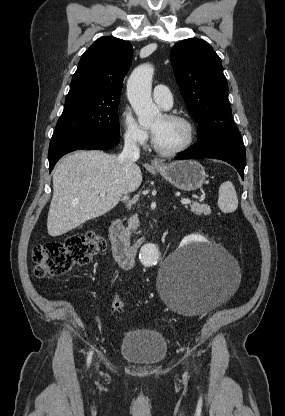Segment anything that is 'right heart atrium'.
Wrapping results in <instances>:
<instances>
[{"instance_id":"obj_1","label":"right heart atrium","mask_w":285,"mask_h":416,"mask_svg":"<svg viewBox=\"0 0 285 416\" xmlns=\"http://www.w3.org/2000/svg\"><path fill=\"white\" fill-rule=\"evenodd\" d=\"M121 125L124 132L125 140L137 147H145L149 141V133L133 116L130 109L122 111Z\"/></svg>"}]
</instances>
